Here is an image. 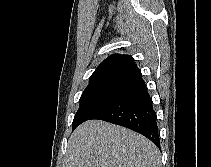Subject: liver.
Returning a JSON list of instances; mask_svg holds the SVG:
<instances>
[{
    "label": "liver",
    "mask_w": 211,
    "mask_h": 167,
    "mask_svg": "<svg viewBox=\"0 0 211 167\" xmlns=\"http://www.w3.org/2000/svg\"><path fill=\"white\" fill-rule=\"evenodd\" d=\"M66 157V167H161L160 152L150 140L100 120L76 128Z\"/></svg>",
    "instance_id": "liver-1"
}]
</instances>
